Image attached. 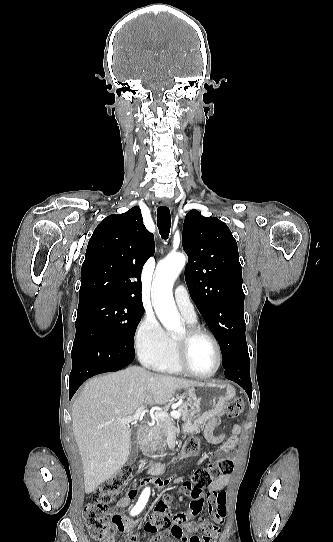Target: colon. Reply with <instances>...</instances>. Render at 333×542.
I'll use <instances>...</instances> for the list:
<instances>
[{
	"mask_svg": "<svg viewBox=\"0 0 333 542\" xmlns=\"http://www.w3.org/2000/svg\"><path fill=\"white\" fill-rule=\"evenodd\" d=\"M244 408L241 398H236L228 403L226 416L229 420L238 418ZM201 448L200 439L193 436L184 441L177 458L189 459L195 457ZM233 462L228 458L215 461L209 470L199 469L194 472L192 481L186 483V489L193 500H199L201 505H190L188 514L195 516V523L202 525L204 536L201 541L210 542L211 537H216L220 531L221 525L226 518V500L225 491L213 492L212 479L222 475H228L233 471ZM132 467L124 466L113 477L106 479L97 489L90 501L85 503L83 516L85 525L93 539L110 537L116 531L117 522L120 521V515L123 511L121 502H113L116 497L125 498L127 491L126 484L131 480ZM124 490V492H122ZM202 494H211L212 501L205 503ZM112 505L111 512L109 507ZM155 510L150 514L146 523L147 532L155 535L173 534L180 537L183 531L180 526L186 523L185 512L176 510L174 516L169 507L168 500H156ZM208 509L210 516H205V509ZM153 539L145 538L142 534H133L128 537V542H148Z\"/></svg>",
	"mask_w": 333,
	"mask_h": 542,
	"instance_id": "1",
	"label": "colon"
}]
</instances>
